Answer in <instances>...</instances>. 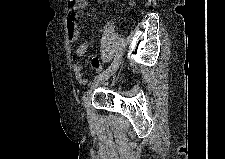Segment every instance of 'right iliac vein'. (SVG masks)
Here are the masks:
<instances>
[{"label": "right iliac vein", "instance_id": "1", "mask_svg": "<svg viewBox=\"0 0 225 159\" xmlns=\"http://www.w3.org/2000/svg\"><path fill=\"white\" fill-rule=\"evenodd\" d=\"M122 59H119L114 65H112L110 67V69H108L106 72L100 74V75H97L95 77V80L93 81V83L91 84V87L90 89L88 90V93L87 95L84 97V103L86 106L89 105V98H90V95L93 93V91L98 87L100 86L102 83H104L106 80H108L118 69L119 67V64L121 62Z\"/></svg>", "mask_w": 225, "mask_h": 159}]
</instances>
